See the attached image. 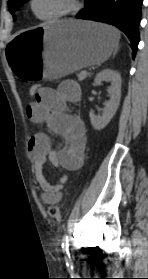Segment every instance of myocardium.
I'll return each instance as SVG.
<instances>
[{
    "label": "myocardium",
    "mask_w": 148,
    "mask_h": 279,
    "mask_svg": "<svg viewBox=\"0 0 148 279\" xmlns=\"http://www.w3.org/2000/svg\"><path fill=\"white\" fill-rule=\"evenodd\" d=\"M35 0H30L29 8L34 17L40 21H59L74 15L80 8L79 0H69V6L59 12L47 16H40L34 9Z\"/></svg>",
    "instance_id": "f54148a6"
}]
</instances>
